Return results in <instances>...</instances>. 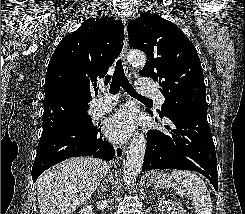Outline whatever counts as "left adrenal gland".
Masks as SVG:
<instances>
[{"label":"left adrenal gland","mask_w":245,"mask_h":214,"mask_svg":"<svg viewBox=\"0 0 245 214\" xmlns=\"http://www.w3.org/2000/svg\"><path fill=\"white\" fill-rule=\"evenodd\" d=\"M150 186V183L147 184V188Z\"/></svg>","instance_id":"obj_1"}]
</instances>
